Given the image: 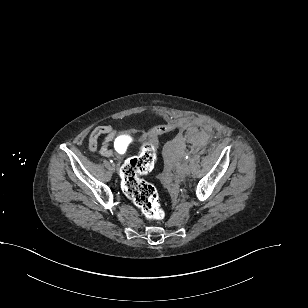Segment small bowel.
I'll return each mask as SVG.
<instances>
[{
	"label": "small bowel",
	"mask_w": 308,
	"mask_h": 308,
	"mask_svg": "<svg viewBox=\"0 0 308 308\" xmlns=\"http://www.w3.org/2000/svg\"><path fill=\"white\" fill-rule=\"evenodd\" d=\"M197 123L192 118H182L177 122L181 128H188ZM115 130L110 125L96 127L88 139V148L90 152H96L98 149L103 156H112L114 151L109 148V143L114 139Z\"/></svg>",
	"instance_id": "obj_1"
}]
</instances>
